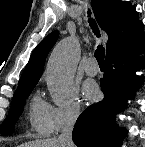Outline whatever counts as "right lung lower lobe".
Segmentation results:
<instances>
[{
	"mask_svg": "<svg viewBox=\"0 0 145 147\" xmlns=\"http://www.w3.org/2000/svg\"><path fill=\"white\" fill-rule=\"evenodd\" d=\"M142 27L140 24L106 53V71L100 80L104 99L78 117L72 133L78 147H120L126 131L117 128L114 118L138 89L135 72L145 64L138 56L145 52Z\"/></svg>",
	"mask_w": 145,
	"mask_h": 147,
	"instance_id": "obj_1",
	"label": "right lung lower lobe"
}]
</instances>
